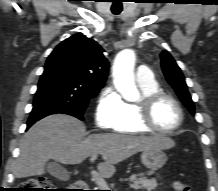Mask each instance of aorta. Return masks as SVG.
<instances>
[{"label": "aorta", "mask_w": 218, "mask_h": 191, "mask_svg": "<svg viewBox=\"0 0 218 191\" xmlns=\"http://www.w3.org/2000/svg\"><path fill=\"white\" fill-rule=\"evenodd\" d=\"M135 54L130 49L121 51L115 58L113 78L116 89L129 102L139 99L140 93L134 80Z\"/></svg>", "instance_id": "obj_1"}]
</instances>
